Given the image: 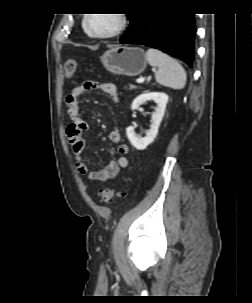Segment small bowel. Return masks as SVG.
<instances>
[{
  "label": "small bowel",
  "instance_id": "obj_1",
  "mask_svg": "<svg viewBox=\"0 0 252 303\" xmlns=\"http://www.w3.org/2000/svg\"><path fill=\"white\" fill-rule=\"evenodd\" d=\"M92 90H98L106 94L113 104L120 103V97L114 84H94L84 82L73 88L67 96L66 104L71 123L67 129V139L71 145L75 158V168L78 174L88 176L92 181H106L114 178L121 168L128 165L127 155L129 146L121 141V132L118 127L110 130L108 138L112 143L118 144L116 159L109 160L104 168H95L82 158V152L86 145V134L90 129L89 123L81 117V96Z\"/></svg>",
  "mask_w": 252,
  "mask_h": 303
}]
</instances>
